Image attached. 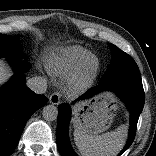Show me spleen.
<instances>
[{"instance_id":"spleen-1","label":"spleen","mask_w":156,"mask_h":156,"mask_svg":"<svg viewBox=\"0 0 156 156\" xmlns=\"http://www.w3.org/2000/svg\"><path fill=\"white\" fill-rule=\"evenodd\" d=\"M126 126L101 135L83 126H75L74 141L82 156H116L126 140Z\"/></svg>"}]
</instances>
